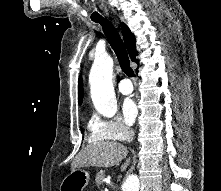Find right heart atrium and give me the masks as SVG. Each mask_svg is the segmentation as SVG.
Returning <instances> with one entry per match:
<instances>
[{
	"label": "right heart atrium",
	"instance_id": "obj_1",
	"mask_svg": "<svg viewBox=\"0 0 221 191\" xmlns=\"http://www.w3.org/2000/svg\"><path fill=\"white\" fill-rule=\"evenodd\" d=\"M90 131L91 137L96 140L125 141L132 134V128L118 117L113 119L95 117Z\"/></svg>",
	"mask_w": 221,
	"mask_h": 191
}]
</instances>
